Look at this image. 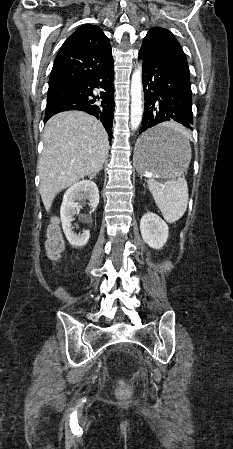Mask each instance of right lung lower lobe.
<instances>
[{
	"label": "right lung lower lobe",
	"instance_id": "98d812e1",
	"mask_svg": "<svg viewBox=\"0 0 233 449\" xmlns=\"http://www.w3.org/2000/svg\"><path fill=\"white\" fill-rule=\"evenodd\" d=\"M114 71L113 62L96 75L88 78L75 87L79 94L75 98L67 99L51 106H46L44 123L53 115L68 111L79 110L94 115L99 119L109 136L112 138V123L114 110ZM101 87L103 91L100 95L93 93L94 88Z\"/></svg>",
	"mask_w": 233,
	"mask_h": 449
}]
</instances>
